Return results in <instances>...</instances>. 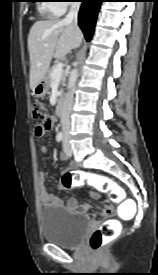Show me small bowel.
Here are the masks:
<instances>
[{"mask_svg": "<svg viewBox=\"0 0 158 275\" xmlns=\"http://www.w3.org/2000/svg\"><path fill=\"white\" fill-rule=\"evenodd\" d=\"M46 151H47L46 147H41V152L46 153ZM61 159L67 160V157H65L64 155H61ZM74 168H75V164L71 163L69 169H74ZM38 185H39L40 199L44 206H60L62 204L61 200L58 197H56L48 192L47 177L44 172H41L38 176ZM61 186H62V184H61ZM66 206L71 211L87 213L91 218H94V214L88 212L89 207L87 205H80L77 202V200L74 198L69 199L67 201Z\"/></svg>", "mask_w": 158, "mask_h": 275, "instance_id": "small-bowel-1", "label": "small bowel"}]
</instances>
